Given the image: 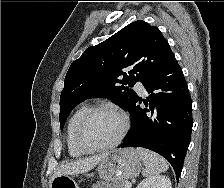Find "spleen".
<instances>
[{
	"instance_id": "1",
	"label": "spleen",
	"mask_w": 224,
	"mask_h": 188,
	"mask_svg": "<svg viewBox=\"0 0 224 188\" xmlns=\"http://www.w3.org/2000/svg\"><path fill=\"white\" fill-rule=\"evenodd\" d=\"M136 151L145 166L142 172L143 176L149 177L168 170L167 161L160 155L141 147H137Z\"/></svg>"
}]
</instances>
